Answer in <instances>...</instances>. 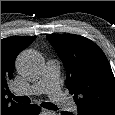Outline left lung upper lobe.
<instances>
[{
	"label": "left lung upper lobe",
	"mask_w": 115,
	"mask_h": 115,
	"mask_svg": "<svg viewBox=\"0 0 115 115\" xmlns=\"http://www.w3.org/2000/svg\"><path fill=\"white\" fill-rule=\"evenodd\" d=\"M66 69L78 115H115V78L98 45L74 34H48Z\"/></svg>",
	"instance_id": "left-lung-upper-lobe-1"
}]
</instances>
